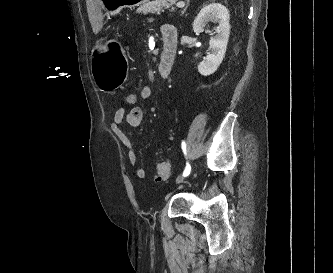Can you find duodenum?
Wrapping results in <instances>:
<instances>
[{"instance_id":"410a0bca","label":"duodenum","mask_w":333,"mask_h":273,"mask_svg":"<svg viewBox=\"0 0 333 273\" xmlns=\"http://www.w3.org/2000/svg\"><path fill=\"white\" fill-rule=\"evenodd\" d=\"M163 49L161 60L158 65V72L161 78L166 79L171 75L176 51L178 47V31L170 25L165 24L162 29Z\"/></svg>"}]
</instances>
